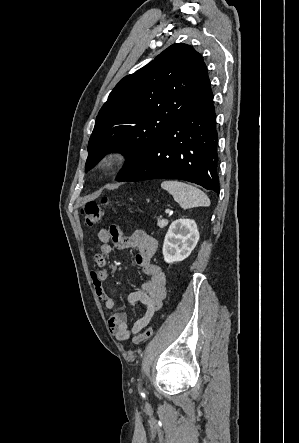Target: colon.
<instances>
[{
	"mask_svg": "<svg viewBox=\"0 0 299 443\" xmlns=\"http://www.w3.org/2000/svg\"><path fill=\"white\" fill-rule=\"evenodd\" d=\"M106 206L107 199H104L102 203L88 202L84 204L81 208V213L84 217V224L89 227L97 225L105 213ZM152 334V327H147L144 331L134 336L132 343L138 346L142 342L148 340Z\"/></svg>",
	"mask_w": 299,
	"mask_h": 443,
	"instance_id": "colon-1",
	"label": "colon"
}]
</instances>
